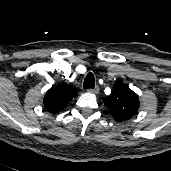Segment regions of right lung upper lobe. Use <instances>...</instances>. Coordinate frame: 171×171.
Returning <instances> with one entry per match:
<instances>
[{
  "label": "right lung upper lobe",
  "instance_id": "obj_1",
  "mask_svg": "<svg viewBox=\"0 0 171 171\" xmlns=\"http://www.w3.org/2000/svg\"><path fill=\"white\" fill-rule=\"evenodd\" d=\"M78 93L67 84L60 83L49 89L44 96V107L50 113H58Z\"/></svg>",
  "mask_w": 171,
  "mask_h": 171
}]
</instances>
